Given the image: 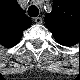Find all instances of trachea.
Returning a JSON list of instances; mask_svg holds the SVG:
<instances>
[{
	"label": "trachea",
	"instance_id": "3493384b",
	"mask_svg": "<svg viewBox=\"0 0 80 80\" xmlns=\"http://www.w3.org/2000/svg\"><path fill=\"white\" fill-rule=\"evenodd\" d=\"M39 14V9L35 6V5H31L29 8H28V15L30 17H37Z\"/></svg>",
	"mask_w": 80,
	"mask_h": 80
}]
</instances>
